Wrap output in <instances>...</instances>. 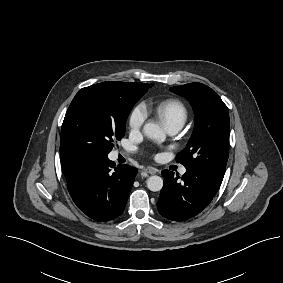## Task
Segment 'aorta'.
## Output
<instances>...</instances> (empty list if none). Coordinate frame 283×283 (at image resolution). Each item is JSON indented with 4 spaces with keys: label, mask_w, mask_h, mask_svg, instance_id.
<instances>
[{
    "label": "aorta",
    "mask_w": 283,
    "mask_h": 283,
    "mask_svg": "<svg viewBox=\"0 0 283 283\" xmlns=\"http://www.w3.org/2000/svg\"><path fill=\"white\" fill-rule=\"evenodd\" d=\"M144 135L154 141L163 142L166 138L163 129L156 123L149 122L143 127ZM147 187L150 191L157 192L163 187V179L160 176L154 175L147 179Z\"/></svg>",
    "instance_id": "aorta-1"
}]
</instances>
